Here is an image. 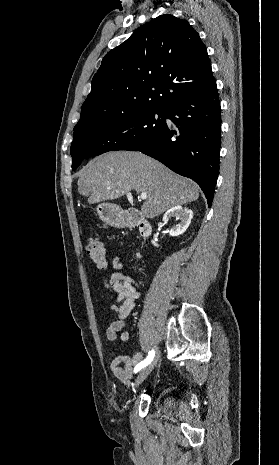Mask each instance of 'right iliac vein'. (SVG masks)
<instances>
[{
  "instance_id": "63e3f726",
  "label": "right iliac vein",
  "mask_w": 279,
  "mask_h": 465,
  "mask_svg": "<svg viewBox=\"0 0 279 465\" xmlns=\"http://www.w3.org/2000/svg\"><path fill=\"white\" fill-rule=\"evenodd\" d=\"M158 359L159 353H157V355L152 359V361L141 370V372L136 378L135 386H139L148 377V375L153 371L154 367L156 366Z\"/></svg>"
}]
</instances>
